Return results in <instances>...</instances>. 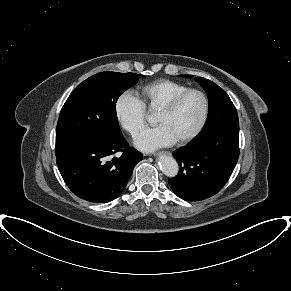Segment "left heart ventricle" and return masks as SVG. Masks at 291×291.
<instances>
[{"instance_id":"obj_1","label":"left heart ventricle","mask_w":291,"mask_h":291,"mask_svg":"<svg viewBox=\"0 0 291 291\" xmlns=\"http://www.w3.org/2000/svg\"><path fill=\"white\" fill-rule=\"evenodd\" d=\"M203 101L197 94L186 96L171 113L158 112L155 122L165 126L177 141L190 134L198 125Z\"/></svg>"}]
</instances>
